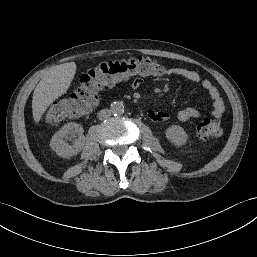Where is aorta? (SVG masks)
I'll return each mask as SVG.
<instances>
[{"instance_id":"obj_1","label":"aorta","mask_w":257,"mask_h":257,"mask_svg":"<svg viewBox=\"0 0 257 257\" xmlns=\"http://www.w3.org/2000/svg\"><path fill=\"white\" fill-rule=\"evenodd\" d=\"M110 111L114 115H121L124 113V105L122 102H113L110 106Z\"/></svg>"}]
</instances>
